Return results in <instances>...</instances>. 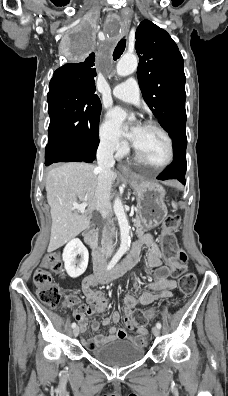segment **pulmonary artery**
Masks as SVG:
<instances>
[{
    "mask_svg": "<svg viewBox=\"0 0 228 396\" xmlns=\"http://www.w3.org/2000/svg\"><path fill=\"white\" fill-rule=\"evenodd\" d=\"M113 95L125 102L139 104L140 88L136 79L129 78L125 82L116 85L112 91Z\"/></svg>",
    "mask_w": 228,
    "mask_h": 396,
    "instance_id": "1",
    "label": "pulmonary artery"
}]
</instances>
